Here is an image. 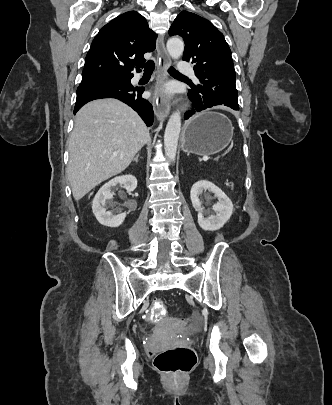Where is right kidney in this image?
I'll list each match as a JSON object with an SVG mask.
<instances>
[{
  "mask_svg": "<svg viewBox=\"0 0 332 405\" xmlns=\"http://www.w3.org/2000/svg\"><path fill=\"white\" fill-rule=\"evenodd\" d=\"M118 184L125 188L127 192H132L137 187V179L132 175L118 176L111 179L99 189L93 199L92 210L101 225L113 228L118 227L126 218L125 212L122 214H113L106 208V201L113 198L111 188Z\"/></svg>",
  "mask_w": 332,
  "mask_h": 405,
  "instance_id": "ca27d5eb",
  "label": "right kidney"
}]
</instances>
